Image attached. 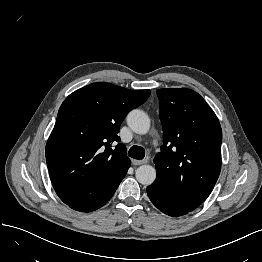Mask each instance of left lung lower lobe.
Returning <instances> with one entry per match:
<instances>
[{
    "label": "left lung lower lobe",
    "instance_id": "0a47b994",
    "mask_svg": "<svg viewBox=\"0 0 262 262\" xmlns=\"http://www.w3.org/2000/svg\"><path fill=\"white\" fill-rule=\"evenodd\" d=\"M147 194L151 200V202L163 213L172 216L178 217L188 214V211L180 209L171 203L164 195L159 193L152 185L147 187Z\"/></svg>",
    "mask_w": 262,
    "mask_h": 262
}]
</instances>
